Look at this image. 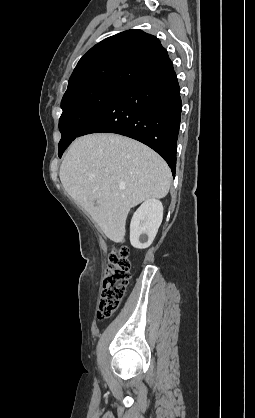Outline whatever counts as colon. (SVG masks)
<instances>
[{
	"label": "colon",
	"mask_w": 255,
	"mask_h": 418,
	"mask_svg": "<svg viewBox=\"0 0 255 418\" xmlns=\"http://www.w3.org/2000/svg\"><path fill=\"white\" fill-rule=\"evenodd\" d=\"M130 281V261L125 248L110 253L102 283L97 317H111L119 308Z\"/></svg>",
	"instance_id": "5ec220e1"
}]
</instances>
